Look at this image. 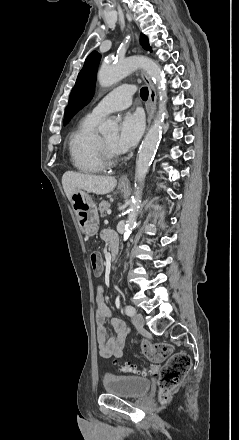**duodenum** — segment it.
Masks as SVG:
<instances>
[{"label": "duodenum", "instance_id": "410a0bca", "mask_svg": "<svg viewBox=\"0 0 239 440\" xmlns=\"http://www.w3.org/2000/svg\"><path fill=\"white\" fill-rule=\"evenodd\" d=\"M118 254V242H113L111 243V247H110V257L113 259L117 256Z\"/></svg>", "mask_w": 239, "mask_h": 440}]
</instances>
